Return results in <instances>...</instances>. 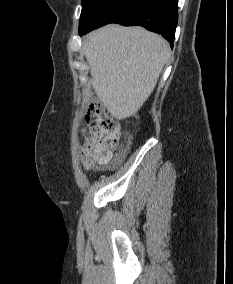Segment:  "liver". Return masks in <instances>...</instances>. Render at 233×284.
<instances>
[{"mask_svg":"<svg viewBox=\"0 0 233 284\" xmlns=\"http://www.w3.org/2000/svg\"><path fill=\"white\" fill-rule=\"evenodd\" d=\"M92 87L118 120L133 116L153 92L169 58L167 41L143 27L111 24L83 44Z\"/></svg>","mask_w":233,"mask_h":284,"instance_id":"liver-1","label":"liver"}]
</instances>
